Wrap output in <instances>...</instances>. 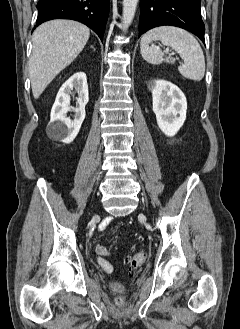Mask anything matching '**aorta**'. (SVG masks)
<instances>
[{
    "label": "aorta",
    "mask_w": 240,
    "mask_h": 329,
    "mask_svg": "<svg viewBox=\"0 0 240 329\" xmlns=\"http://www.w3.org/2000/svg\"><path fill=\"white\" fill-rule=\"evenodd\" d=\"M138 0H123V11H122V30L127 31L128 26L131 24L136 8H137Z\"/></svg>",
    "instance_id": "1"
}]
</instances>
